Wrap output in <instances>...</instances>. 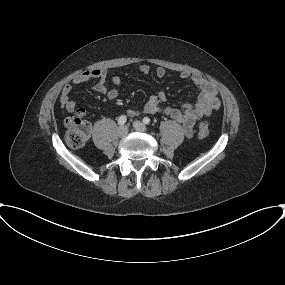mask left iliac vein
<instances>
[{
	"instance_id": "4c4485c4",
	"label": "left iliac vein",
	"mask_w": 285,
	"mask_h": 285,
	"mask_svg": "<svg viewBox=\"0 0 285 285\" xmlns=\"http://www.w3.org/2000/svg\"><path fill=\"white\" fill-rule=\"evenodd\" d=\"M133 127L139 132H144L147 129L146 126L142 122L137 121V120L133 122Z\"/></svg>"
}]
</instances>
